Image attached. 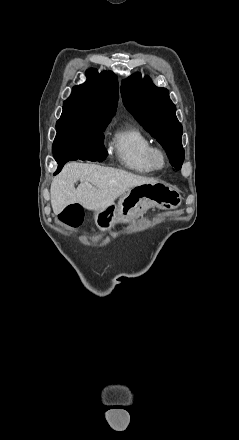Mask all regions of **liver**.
<instances>
[{
    "label": "liver",
    "instance_id": "liver-1",
    "mask_svg": "<svg viewBox=\"0 0 239 440\" xmlns=\"http://www.w3.org/2000/svg\"><path fill=\"white\" fill-rule=\"evenodd\" d=\"M80 180L77 190L75 182ZM159 184L154 178L136 176L117 168L96 164L69 162L52 180L50 194L54 214H60L69 204H81L86 210H102L136 186Z\"/></svg>",
    "mask_w": 239,
    "mask_h": 440
}]
</instances>
